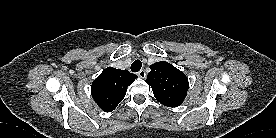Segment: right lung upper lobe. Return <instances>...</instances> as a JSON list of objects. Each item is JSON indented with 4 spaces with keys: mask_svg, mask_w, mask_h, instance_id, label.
I'll return each instance as SVG.
<instances>
[{
    "mask_svg": "<svg viewBox=\"0 0 276 138\" xmlns=\"http://www.w3.org/2000/svg\"><path fill=\"white\" fill-rule=\"evenodd\" d=\"M136 78L137 75L127 70L108 67L92 83V97L103 111L111 112L124 98L127 87Z\"/></svg>",
    "mask_w": 276,
    "mask_h": 138,
    "instance_id": "obj_1",
    "label": "right lung upper lobe"
}]
</instances>
